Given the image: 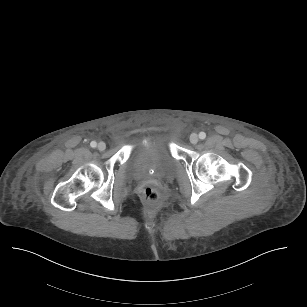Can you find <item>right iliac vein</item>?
Returning <instances> with one entry per match:
<instances>
[{
    "mask_svg": "<svg viewBox=\"0 0 307 307\" xmlns=\"http://www.w3.org/2000/svg\"><path fill=\"white\" fill-rule=\"evenodd\" d=\"M97 148L100 151H104L106 149V144L104 142H99Z\"/></svg>",
    "mask_w": 307,
    "mask_h": 307,
    "instance_id": "63e3f726",
    "label": "right iliac vein"
}]
</instances>
